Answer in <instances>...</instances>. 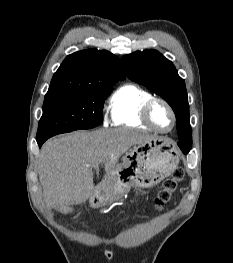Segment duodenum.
Here are the masks:
<instances>
[{
    "label": "duodenum",
    "instance_id": "410a0bca",
    "mask_svg": "<svg viewBox=\"0 0 233 263\" xmlns=\"http://www.w3.org/2000/svg\"><path fill=\"white\" fill-rule=\"evenodd\" d=\"M103 188L101 186L96 187V192L93 195V201L100 203L103 199L102 193Z\"/></svg>",
    "mask_w": 233,
    "mask_h": 263
}]
</instances>
